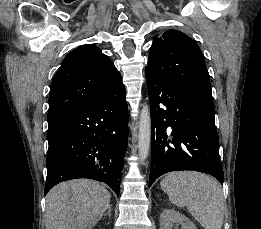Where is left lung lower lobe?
Segmentation results:
<instances>
[{"instance_id": "0a47b994", "label": "left lung lower lobe", "mask_w": 261, "mask_h": 229, "mask_svg": "<svg viewBox=\"0 0 261 229\" xmlns=\"http://www.w3.org/2000/svg\"><path fill=\"white\" fill-rule=\"evenodd\" d=\"M151 106L149 187L171 171L194 170L224 181L211 89L146 71Z\"/></svg>"}]
</instances>
